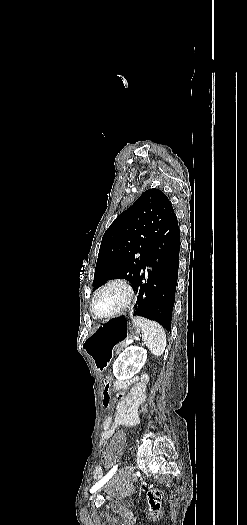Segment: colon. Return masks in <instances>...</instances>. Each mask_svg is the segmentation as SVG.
Returning a JSON list of instances; mask_svg holds the SVG:
<instances>
[{"label": "colon", "instance_id": "1", "mask_svg": "<svg viewBox=\"0 0 247 525\" xmlns=\"http://www.w3.org/2000/svg\"><path fill=\"white\" fill-rule=\"evenodd\" d=\"M115 381V378L112 375H107L105 377V380L101 382V387L105 389L101 395V408L104 411L109 410L110 405L112 403L111 396L112 391L110 390L113 387V382ZM101 451V459L103 462H109L111 460V452H110V446L107 442H104L100 446ZM147 497L148 501L150 503V514L152 518L157 519L161 517L162 515V508H161V499L163 497V492L160 488H157L155 486H150L147 491Z\"/></svg>", "mask_w": 247, "mask_h": 525}]
</instances>
